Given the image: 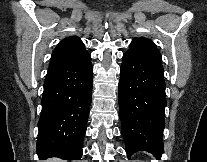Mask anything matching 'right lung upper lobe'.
I'll return each mask as SVG.
<instances>
[{"instance_id":"obj_1","label":"right lung upper lobe","mask_w":207,"mask_h":162,"mask_svg":"<svg viewBox=\"0 0 207 162\" xmlns=\"http://www.w3.org/2000/svg\"><path fill=\"white\" fill-rule=\"evenodd\" d=\"M87 54L82 41L78 37H67L53 51L49 69L75 62Z\"/></svg>"}]
</instances>
